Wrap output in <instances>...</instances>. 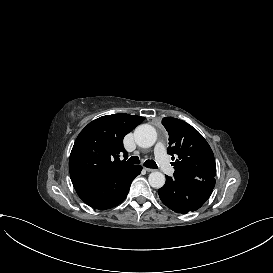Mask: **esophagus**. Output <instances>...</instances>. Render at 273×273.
Returning a JSON list of instances; mask_svg holds the SVG:
<instances>
[{
    "label": "esophagus",
    "mask_w": 273,
    "mask_h": 273,
    "mask_svg": "<svg viewBox=\"0 0 273 273\" xmlns=\"http://www.w3.org/2000/svg\"><path fill=\"white\" fill-rule=\"evenodd\" d=\"M146 171H148V172H153V171H155V169H151V168H147V167H145L144 168Z\"/></svg>",
    "instance_id": "34e87169"
}]
</instances>
